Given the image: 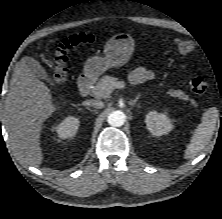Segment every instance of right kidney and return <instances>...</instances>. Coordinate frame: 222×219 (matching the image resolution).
Wrapping results in <instances>:
<instances>
[{
    "instance_id": "1",
    "label": "right kidney",
    "mask_w": 222,
    "mask_h": 219,
    "mask_svg": "<svg viewBox=\"0 0 222 219\" xmlns=\"http://www.w3.org/2000/svg\"><path fill=\"white\" fill-rule=\"evenodd\" d=\"M78 127L79 119L74 116H68L54 129L60 139H67L73 137L76 134Z\"/></svg>"
}]
</instances>
